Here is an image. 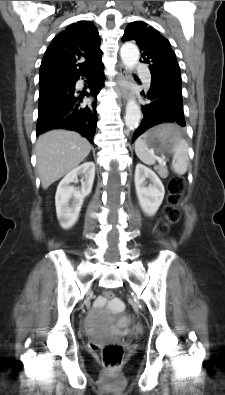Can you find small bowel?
<instances>
[{
  "instance_id": "1",
  "label": "small bowel",
  "mask_w": 225,
  "mask_h": 395,
  "mask_svg": "<svg viewBox=\"0 0 225 395\" xmlns=\"http://www.w3.org/2000/svg\"><path fill=\"white\" fill-rule=\"evenodd\" d=\"M107 303L106 296H100L95 300L94 307L97 311V315L102 316L103 323H110V316L107 313H103V310L110 311V313H114V315H126V304L122 298V296H113L112 300H110L109 304ZM129 323V319L126 317L121 318L116 325L109 326V329L113 332H117L120 329L125 328Z\"/></svg>"
}]
</instances>
